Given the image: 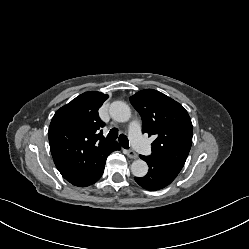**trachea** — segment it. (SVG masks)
Masks as SVG:
<instances>
[{
    "instance_id": "obj_1",
    "label": "trachea",
    "mask_w": 249,
    "mask_h": 249,
    "mask_svg": "<svg viewBox=\"0 0 249 249\" xmlns=\"http://www.w3.org/2000/svg\"><path fill=\"white\" fill-rule=\"evenodd\" d=\"M108 139H112L115 140L118 138L120 145L125 148V149H129V141L127 136L121 134L118 136V130L113 128L109 131L108 135H107Z\"/></svg>"
}]
</instances>
